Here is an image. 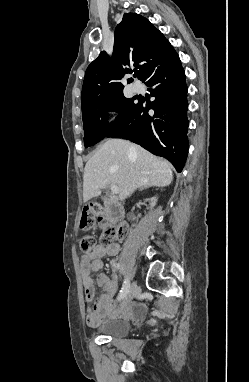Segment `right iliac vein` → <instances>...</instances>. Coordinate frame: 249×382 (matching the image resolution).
Returning a JSON list of instances; mask_svg holds the SVG:
<instances>
[{
	"mask_svg": "<svg viewBox=\"0 0 249 382\" xmlns=\"http://www.w3.org/2000/svg\"><path fill=\"white\" fill-rule=\"evenodd\" d=\"M137 291H138V287H137L136 283L133 282L131 287L129 288L127 294L125 295V297L121 303V306L128 304L133 299V297L137 293Z\"/></svg>",
	"mask_w": 249,
	"mask_h": 382,
	"instance_id": "63e3f726",
	"label": "right iliac vein"
}]
</instances>
